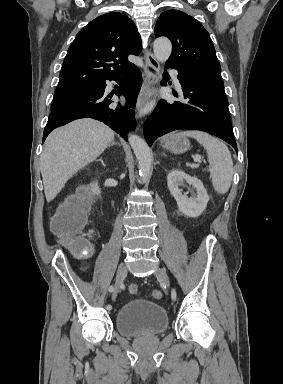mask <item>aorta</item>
I'll return each mask as SVG.
<instances>
[{"label":"aorta","instance_id":"aorta-1","mask_svg":"<svg viewBox=\"0 0 283 384\" xmlns=\"http://www.w3.org/2000/svg\"><path fill=\"white\" fill-rule=\"evenodd\" d=\"M153 51L155 58L160 62H165L171 55L172 45L167 38H157L154 41ZM156 106V100L148 102L140 111L137 117L150 113ZM129 143L136 155L138 161L139 174L145 181L151 169V151L147 143L137 135H129Z\"/></svg>","mask_w":283,"mask_h":384}]
</instances>
